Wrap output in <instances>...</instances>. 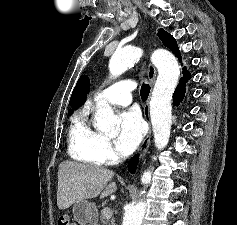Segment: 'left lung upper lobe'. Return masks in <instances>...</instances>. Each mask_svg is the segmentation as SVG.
I'll list each match as a JSON object with an SVG mask.
<instances>
[{
  "label": "left lung upper lobe",
  "mask_w": 237,
  "mask_h": 225,
  "mask_svg": "<svg viewBox=\"0 0 237 225\" xmlns=\"http://www.w3.org/2000/svg\"><path fill=\"white\" fill-rule=\"evenodd\" d=\"M158 35H159V38L162 40L163 44L165 46H167L168 48H170L177 55L179 60L181 61L180 52L177 47L175 39L170 34H167V32H165L162 29L159 31Z\"/></svg>",
  "instance_id": "5c2ea615"
}]
</instances>
